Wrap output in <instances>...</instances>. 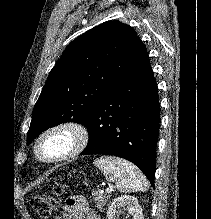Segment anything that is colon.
Listing matches in <instances>:
<instances>
[{
    "label": "colon",
    "instance_id": "obj_1",
    "mask_svg": "<svg viewBox=\"0 0 211 219\" xmlns=\"http://www.w3.org/2000/svg\"><path fill=\"white\" fill-rule=\"evenodd\" d=\"M61 187H55L50 194H39L31 199V206L41 219L50 218L60 206Z\"/></svg>",
    "mask_w": 211,
    "mask_h": 219
}]
</instances>
